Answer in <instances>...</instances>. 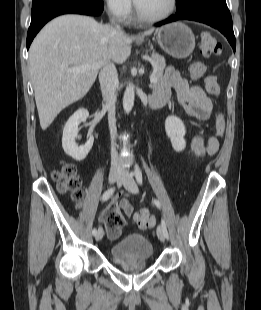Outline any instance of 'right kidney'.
<instances>
[{"instance_id": "1", "label": "right kidney", "mask_w": 261, "mask_h": 310, "mask_svg": "<svg viewBox=\"0 0 261 310\" xmlns=\"http://www.w3.org/2000/svg\"><path fill=\"white\" fill-rule=\"evenodd\" d=\"M89 117L87 109H78L66 122L63 129L62 147L64 152L76 161H82L90 152L94 137L91 135L85 145L77 146L75 139L78 136V126Z\"/></svg>"}]
</instances>
